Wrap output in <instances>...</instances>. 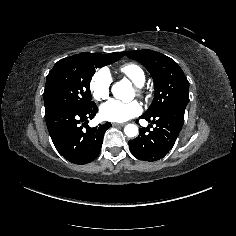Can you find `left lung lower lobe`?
<instances>
[{"instance_id":"0a47b994","label":"left lung lower lobe","mask_w":236,"mask_h":236,"mask_svg":"<svg viewBox=\"0 0 236 236\" xmlns=\"http://www.w3.org/2000/svg\"><path fill=\"white\" fill-rule=\"evenodd\" d=\"M185 108L184 104H174L153 115H142L140 118L155 127L152 130L143 127L137 138L128 141L132 154L148 162L163 158L173 147L182 129Z\"/></svg>"}]
</instances>
